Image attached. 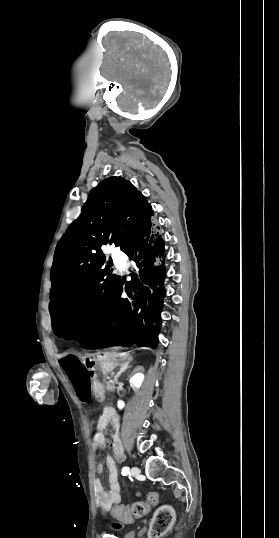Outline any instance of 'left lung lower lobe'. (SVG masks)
I'll list each match as a JSON object with an SVG mask.
<instances>
[{"instance_id": "left-lung-lower-lobe-1", "label": "left lung lower lobe", "mask_w": 279, "mask_h": 538, "mask_svg": "<svg viewBox=\"0 0 279 538\" xmlns=\"http://www.w3.org/2000/svg\"><path fill=\"white\" fill-rule=\"evenodd\" d=\"M165 242L153 225L145 230L140 240L125 253L136 262L139 272L125 285V291L132 290L128 299H121L123 286L120 284L114 296V307L106 321L91 336L69 332L62 337L82 342L88 349L109 346H131L156 348L161 325L160 313L165 289V267L160 265L164 255Z\"/></svg>"}]
</instances>
